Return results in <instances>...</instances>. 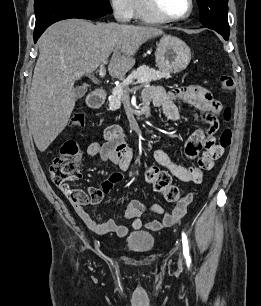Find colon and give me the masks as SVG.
<instances>
[{
	"instance_id": "1",
	"label": "colon",
	"mask_w": 261,
	"mask_h": 306,
	"mask_svg": "<svg viewBox=\"0 0 261 306\" xmlns=\"http://www.w3.org/2000/svg\"><path fill=\"white\" fill-rule=\"evenodd\" d=\"M223 90H232L235 82L232 76L223 75L219 79ZM224 119L229 121L231 118L230 108H226L223 113ZM85 116L83 113H75L71 119L72 127H84ZM232 142V131L225 128L219 138V145L227 148ZM81 150L74 140H66L60 148V153L54 158L50 166L51 180L62 189L68 190L69 198L78 204H98L102 198L101 188H90L88 191L72 190L68 182L76 181L81 177ZM144 177L154 190L164 195L165 199L174 202L179 199L180 194L176 186L171 184V177L166 171L160 170L155 165L149 166L144 171ZM117 180L118 175L114 174L111 178Z\"/></svg>"
}]
</instances>
